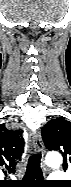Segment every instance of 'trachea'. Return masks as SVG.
<instances>
[{"label": "trachea", "mask_w": 71, "mask_h": 187, "mask_svg": "<svg viewBox=\"0 0 71 187\" xmlns=\"http://www.w3.org/2000/svg\"><path fill=\"white\" fill-rule=\"evenodd\" d=\"M41 154L37 153L29 157L25 178L27 179H41L43 177L40 168Z\"/></svg>", "instance_id": "trachea-1"}]
</instances>
